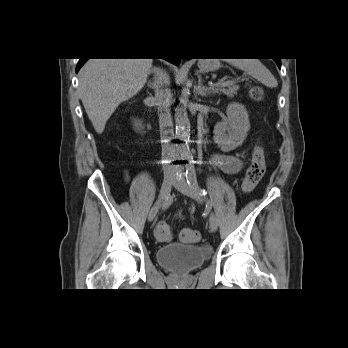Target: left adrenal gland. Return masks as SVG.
Instances as JSON below:
<instances>
[{"instance_id": "obj_1", "label": "left adrenal gland", "mask_w": 348, "mask_h": 348, "mask_svg": "<svg viewBox=\"0 0 348 348\" xmlns=\"http://www.w3.org/2000/svg\"><path fill=\"white\" fill-rule=\"evenodd\" d=\"M196 93L197 95H200L201 97L208 96L212 93L211 87L207 88L203 86V79L201 77H199L198 79V86L196 88Z\"/></svg>"}]
</instances>
